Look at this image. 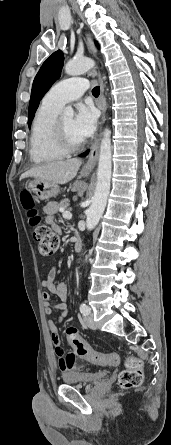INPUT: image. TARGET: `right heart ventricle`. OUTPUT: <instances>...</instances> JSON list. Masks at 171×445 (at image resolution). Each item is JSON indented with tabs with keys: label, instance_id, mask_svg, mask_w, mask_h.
I'll list each match as a JSON object with an SVG mask.
<instances>
[{
	"label": "right heart ventricle",
	"instance_id": "right-heart-ventricle-1",
	"mask_svg": "<svg viewBox=\"0 0 171 445\" xmlns=\"http://www.w3.org/2000/svg\"><path fill=\"white\" fill-rule=\"evenodd\" d=\"M59 112V108L42 102L35 114L30 134V157L35 163L54 161L65 155L56 146L52 135V125Z\"/></svg>",
	"mask_w": 171,
	"mask_h": 445
}]
</instances>
